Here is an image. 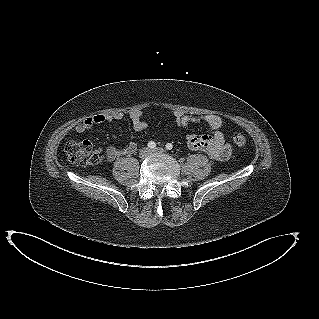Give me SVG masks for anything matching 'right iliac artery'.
<instances>
[{"label": "right iliac artery", "instance_id": "obj_1", "mask_svg": "<svg viewBox=\"0 0 319 319\" xmlns=\"http://www.w3.org/2000/svg\"><path fill=\"white\" fill-rule=\"evenodd\" d=\"M148 147L149 148H151V149H153V148H155L156 147V143L154 142V141H150V142H148Z\"/></svg>", "mask_w": 319, "mask_h": 319}]
</instances>
